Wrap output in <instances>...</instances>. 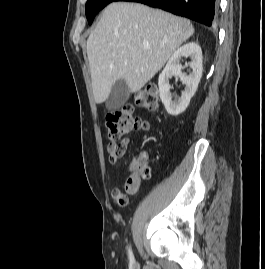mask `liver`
Masks as SVG:
<instances>
[{"label":"liver","instance_id":"6515ba94","mask_svg":"<svg viewBox=\"0 0 265 269\" xmlns=\"http://www.w3.org/2000/svg\"><path fill=\"white\" fill-rule=\"evenodd\" d=\"M193 33L189 20L165 11L109 4L87 40L95 102L103 103L118 80L140 91Z\"/></svg>","mask_w":265,"mask_h":269}]
</instances>
